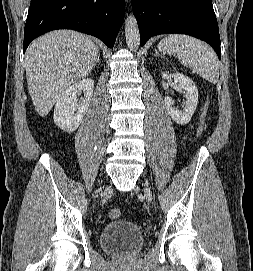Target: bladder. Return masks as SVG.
<instances>
[{"label":"bladder","instance_id":"1","mask_svg":"<svg viewBox=\"0 0 253 271\" xmlns=\"http://www.w3.org/2000/svg\"><path fill=\"white\" fill-rule=\"evenodd\" d=\"M100 248L114 256H130L138 253L144 245L141 229L128 220H116L103 226L98 234Z\"/></svg>","mask_w":253,"mask_h":271}]
</instances>
